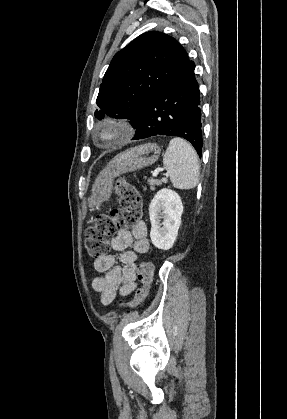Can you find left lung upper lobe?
<instances>
[{
    "instance_id": "5c2ea615",
    "label": "left lung upper lobe",
    "mask_w": 287,
    "mask_h": 419,
    "mask_svg": "<svg viewBox=\"0 0 287 419\" xmlns=\"http://www.w3.org/2000/svg\"><path fill=\"white\" fill-rule=\"evenodd\" d=\"M193 64L167 34L146 32L113 57L100 86L95 117L127 118L136 128L152 96Z\"/></svg>"
}]
</instances>
